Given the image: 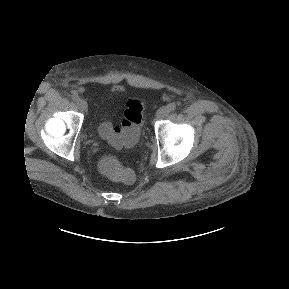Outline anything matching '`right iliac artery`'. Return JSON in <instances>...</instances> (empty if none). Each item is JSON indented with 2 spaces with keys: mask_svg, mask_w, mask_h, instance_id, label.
<instances>
[{
  "mask_svg": "<svg viewBox=\"0 0 289 289\" xmlns=\"http://www.w3.org/2000/svg\"><path fill=\"white\" fill-rule=\"evenodd\" d=\"M71 98H72L73 101H76V102L79 100V96L76 93H73L71 95Z\"/></svg>",
  "mask_w": 289,
  "mask_h": 289,
  "instance_id": "82829eb1",
  "label": "right iliac artery"
}]
</instances>
